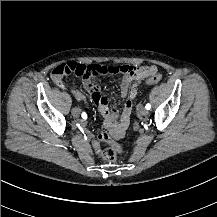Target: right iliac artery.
Listing matches in <instances>:
<instances>
[{"mask_svg": "<svg viewBox=\"0 0 217 217\" xmlns=\"http://www.w3.org/2000/svg\"><path fill=\"white\" fill-rule=\"evenodd\" d=\"M82 118L85 120L87 118V114L85 112L82 113Z\"/></svg>", "mask_w": 217, "mask_h": 217, "instance_id": "1", "label": "right iliac artery"}]
</instances>
